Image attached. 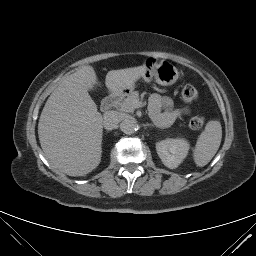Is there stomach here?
Here are the masks:
<instances>
[{"label": "stomach", "instance_id": "obj_1", "mask_svg": "<svg viewBox=\"0 0 256 256\" xmlns=\"http://www.w3.org/2000/svg\"><path fill=\"white\" fill-rule=\"evenodd\" d=\"M145 71L142 78L145 82H151L153 79L162 86L173 85L178 77L177 68L166 61L157 62L153 58H147L144 62ZM135 87V82L128 86L125 91H131Z\"/></svg>", "mask_w": 256, "mask_h": 256}]
</instances>
